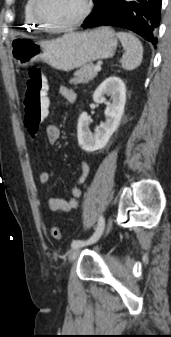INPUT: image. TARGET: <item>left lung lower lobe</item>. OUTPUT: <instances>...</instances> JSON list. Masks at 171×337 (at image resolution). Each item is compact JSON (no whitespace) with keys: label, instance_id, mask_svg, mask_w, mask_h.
I'll return each instance as SVG.
<instances>
[{"label":"left lung lower lobe","instance_id":"1","mask_svg":"<svg viewBox=\"0 0 171 337\" xmlns=\"http://www.w3.org/2000/svg\"><path fill=\"white\" fill-rule=\"evenodd\" d=\"M95 7L82 27L116 26L134 31L153 45L162 0H94Z\"/></svg>","mask_w":171,"mask_h":337}]
</instances>
